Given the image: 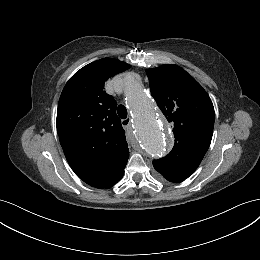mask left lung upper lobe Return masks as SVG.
<instances>
[{"mask_svg":"<svg viewBox=\"0 0 260 260\" xmlns=\"http://www.w3.org/2000/svg\"><path fill=\"white\" fill-rule=\"evenodd\" d=\"M151 94L173 126L175 143L166 156L153 161L161 177L186 179L206 154L213 135L214 107L206 91L185 70L165 64L147 69Z\"/></svg>","mask_w":260,"mask_h":260,"instance_id":"1","label":"left lung upper lobe"}]
</instances>
